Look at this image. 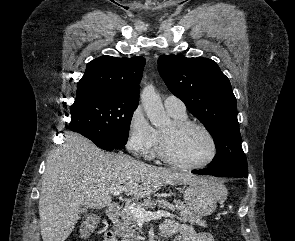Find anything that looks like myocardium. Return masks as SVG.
<instances>
[{
  "label": "myocardium",
  "instance_id": "1",
  "mask_svg": "<svg viewBox=\"0 0 295 241\" xmlns=\"http://www.w3.org/2000/svg\"><path fill=\"white\" fill-rule=\"evenodd\" d=\"M171 125H172V130L176 131V132L184 130L189 127H195V128L200 129L208 137V139L211 143V153H210L209 157L201 163H197V164L182 163V162L174 159L170 155L168 136L165 133L161 132L160 136H159L158 155L162 161H164L165 163H167L171 166H174V167H177L180 169H184V170L203 169L214 162V160L216 159V157L218 155V151H219L218 143H217L215 136L213 135V133L210 131V129L208 127H206L204 124H202L200 122L188 120V119L174 120Z\"/></svg>",
  "mask_w": 295,
  "mask_h": 241
}]
</instances>
